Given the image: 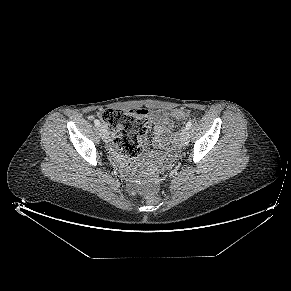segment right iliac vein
<instances>
[{
  "label": "right iliac vein",
  "instance_id": "1",
  "mask_svg": "<svg viewBox=\"0 0 291 291\" xmlns=\"http://www.w3.org/2000/svg\"><path fill=\"white\" fill-rule=\"evenodd\" d=\"M100 134L104 142L108 143L110 140L109 133L105 126H100Z\"/></svg>",
  "mask_w": 291,
  "mask_h": 291
}]
</instances>
